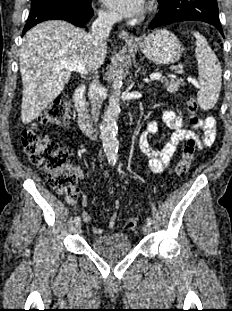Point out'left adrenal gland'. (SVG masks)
I'll return each instance as SVG.
<instances>
[{
  "instance_id": "left-adrenal-gland-1",
  "label": "left adrenal gland",
  "mask_w": 232,
  "mask_h": 311,
  "mask_svg": "<svg viewBox=\"0 0 232 311\" xmlns=\"http://www.w3.org/2000/svg\"><path fill=\"white\" fill-rule=\"evenodd\" d=\"M141 70V67L140 68H138V70L136 71V73H135V77H137L138 76V73H139V71ZM139 88H142L143 87V85H139L138 86Z\"/></svg>"
}]
</instances>
